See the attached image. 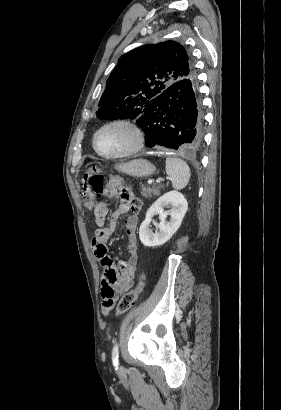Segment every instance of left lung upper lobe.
Returning <instances> with one entry per match:
<instances>
[{"label": "left lung upper lobe", "mask_w": 281, "mask_h": 410, "mask_svg": "<svg viewBox=\"0 0 281 410\" xmlns=\"http://www.w3.org/2000/svg\"><path fill=\"white\" fill-rule=\"evenodd\" d=\"M195 76L184 47L174 41L140 46L120 57L107 80L99 119H138L147 104L175 82Z\"/></svg>", "instance_id": "left-lung-upper-lobe-1"}]
</instances>
